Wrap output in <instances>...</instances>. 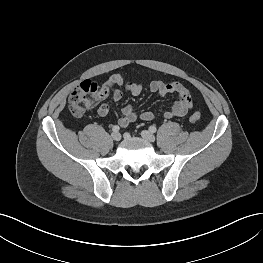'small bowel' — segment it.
<instances>
[{
  "mask_svg": "<svg viewBox=\"0 0 263 263\" xmlns=\"http://www.w3.org/2000/svg\"><path fill=\"white\" fill-rule=\"evenodd\" d=\"M122 89L130 92L134 96H138L143 91V85L138 82H128L119 74L110 75L104 80L94 102L98 104L97 113L101 117H105L110 112V107L104 101L111 96L113 101H119L122 98ZM151 92L164 97L168 94H175L178 99L172 108L164 113L167 119L173 117H182L186 115L192 108V99L190 92L179 82H163L160 80H152L149 84ZM137 113L130 105L123 107L122 116L118 119V124L122 127L129 125L137 119ZM143 121H152L155 114L152 111H144L140 114Z\"/></svg>",
  "mask_w": 263,
  "mask_h": 263,
  "instance_id": "1",
  "label": "small bowel"
}]
</instances>
